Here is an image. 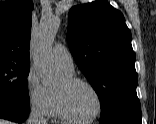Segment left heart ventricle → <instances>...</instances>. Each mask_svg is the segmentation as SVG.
<instances>
[{
  "label": "left heart ventricle",
  "instance_id": "b2bd125f",
  "mask_svg": "<svg viewBox=\"0 0 156 124\" xmlns=\"http://www.w3.org/2000/svg\"><path fill=\"white\" fill-rule=\"evenodd\" d=\"M55 89L64 92L68 108L75 116L89 118L96 113L98 108L97 99L87 86L82 84L68 86L63 78Z\"/></svg>",
  "mask_w": 156,
  "mask_h": 124
}]
</instances>
